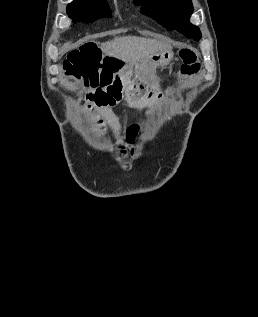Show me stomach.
<instances>
[{
	"mask_svg": "<svg viewBox=\"0 0 258 317\" xmlns=\"http://www.w3.org/2000/svg\"><path fill=\"white\" fill-rule=\"evenodd\" d=\"M174 56L173 50H159L152 54L148 64H139V62H127L125 64L126 70H133L137 80L139 82H148V72L154 70L156 66H164V64H169Z\"/></svg>",
	"mask_w": 258,
	"mask_h": 317,
	"instance_id": "stomach-1",
	"label": "stomach"
}]
</instances>
